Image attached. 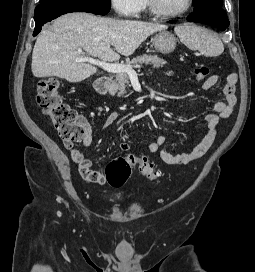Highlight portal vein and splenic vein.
Masks as SVG:
<instances>
[{"mask_svg":"<svg viewBox=\"0 0 255 272\" xmlns=\"http://www.w3.org/2000/svg\"><path fill=\"white\" fill-rule=\"evenodd\" d=\"M79 57L76 59L77 62H88L93 65H98L102 69H104L107 72L110 73H127L128 75H135L136 72L133 69L132 66L124 65V64H119V63H108V62H103V61H98L94 58L87 57L82 53V50H78ZM135 68H140L141 66L136 65L134 66Z\"/></svg>","mask_w":255,"mask_h":272,"instance_id":"portal-vein-and-splenic-vein-1","label":"portal vein and splenic vein"}]
</instances>
